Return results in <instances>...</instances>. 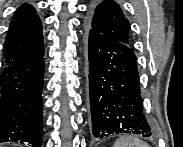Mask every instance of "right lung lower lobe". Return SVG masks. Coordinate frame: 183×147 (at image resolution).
Segmentation results:
<instances>
[{
  "label": "right lung lower lobe",
  "mask_w": 183,
  "mask_h": 147,
  "mask_svg": "<svg viewBox=\"0 0 183 147\" xmlns=\"http://www.w3.org/2000/svg\"><path fill=\"white\" fill-rule=\"evenodd\" d=\"M44 50L30 59L5 65L0 73V143L40 147Z\"/></svg>",
  "instance_id": "98d812e1"
}]
</instances>
